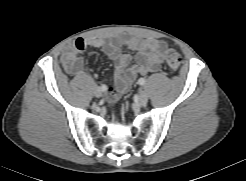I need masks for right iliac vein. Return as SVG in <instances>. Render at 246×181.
Masks as SVG:
<instances>
[{
    "label": "right iliac vein",
    "instance_id": "63e3f726",
    "mask_svg": "<svg viewBox=\"0 0 246 181\" xmlns=\"http://www.w3.org/2000/svg\"><path fill=\"white\" fill-rule=\"evenodd\" d=\"M94 94H95V96L96 97H101L102 96V91H101V89L100 88H96L95 90H94Z\"/></svg>",
    "mask_w": 246,
    "mask_h": 181
}]
</instances>
